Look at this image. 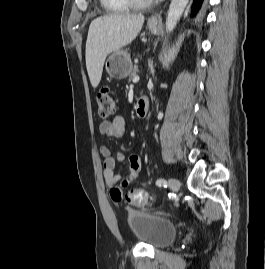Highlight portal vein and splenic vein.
<instances>
[{
    "label": "portal vein and splenic vein",
    "mask_w": 265,
    "mask_h": 269,
    "mask_svg": "<svg viewBox=\"0 0 265 269\" xmlns=\"http://www.w3.org/2000/svg\"><path fill=\"white\" fill-rule=\"evenodd\" d=\"M138 81H139V77L138 76H136V77L133 78V83H137Z\"/></svg>",
    "instance_id": "1"
}]
</instances>
